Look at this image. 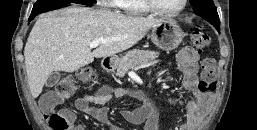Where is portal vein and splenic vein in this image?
I'll list each match as a JSON object with an SVG mask.
<instances>
[{"label": "portal vein and splenic vein", "mask_w": 257, "mask_h": 130, "mask_svg": "<svg viewBox=\"0 0 257 130\" xmlns=\"http://www.w3.org/2000/svg\"><path fill=\"white\" fill-rule=\"evenodd\" d=\"M102 42H105L104 40H94L90 43V48H96L98 47Z\"/></svg>", "instance_id": "portal-vein-and-splenic-vein-1"}]
</instances>
